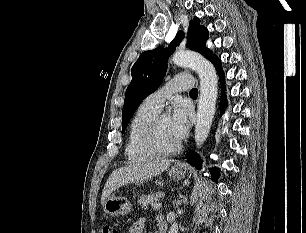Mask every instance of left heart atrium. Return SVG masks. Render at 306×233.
Returning <instances> with one entry per match:
<instances>
[{"instance_id":"39dd6f15","label":"left heart atrium","mask_w":306,"mask_h":233,"mask_svg":"<svg viewBox=\"0 0 306 233\" xmlns=\"http://www.w3.org/2000/svg\"><path fill=\"white\" fill-rule=\"evenodd\" d=\"M191 112L182 104L177 103L173 107L172 115L169 118V128L177 142L185 138L190 127Z\"/></svg>"}]
</instances>
